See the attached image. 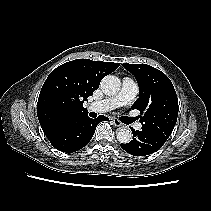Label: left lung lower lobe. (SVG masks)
I'll use <instances>...</instances> for the list:
<instances>
[{
    "instance_id": "1",
    "label": "left lung lower lobe",
    "mask_w": 211,
    "mask_h": 211,
    "mask_svg": "<svg viewBox=\"0 0 211 211\" xmlns=\"http://www.w3.org/2000/svg\"><path fill=\"white\" fill-rule=\"evenodd\" d=\"M133 140L127 144L121 143V148L134 156H145L158 151L165 142L144 131L132 129Z\"/></svg>"
}]
</instances>
